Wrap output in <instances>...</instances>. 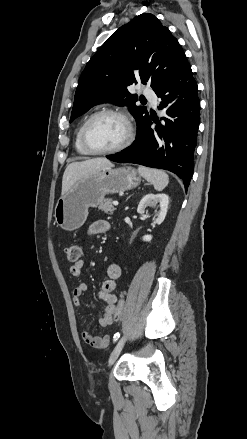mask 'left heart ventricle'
<instances>
[{
  "mask_svg": "<svg viewBox=\"0 0 247 439\" xmlns=\"http://www.w3.org/2000/svg\"><path fill=\"white\" fill-rule=\"evenodd\" d=\"M126 135L127 128L124 121L112 115L95 119L87 132L89 144L97 150H107L120 145Z\"/></svg>",
  "mask_w": 247,
  "mask_h": 439,
  "instance_id": "b2bd125f",
  "label": "left heart ventricle"
}]
</instances>
